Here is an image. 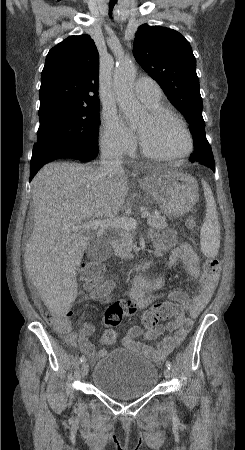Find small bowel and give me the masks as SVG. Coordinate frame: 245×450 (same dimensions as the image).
<instances>
[{
    "mask_svg": "<svg viewBox=\"0 0 245 450\" xmlns=\"http://www.w3.org/2000/svg\"><path fill=\"white\" fill-rule=\"evenodd\" d=\"M154 243L155 256L162 257L170 251L168 258V266L173 267L178 262H182L189 274L200 282L201 288L198 294L189 298L181 290H173L168 294L171 301L182 304L187 313V317L182 322L168 321L158 324L153 329L144 331L139 327H135L125 335L121 344L131 349H142L149 356L162 360L169 355L186 337L193 326V320L196 319L204 310L218 283V274H209L201 267V259L197 252L190 244H179L175 231L165 230L161 233L152 235ZM101 285L96 288H90L84 285L85 293L94 300H107L115 287L114 282L103 280L100 276ZM165 285V278L159 276L150 279L144 274H139L134 278L133 285L129 290L130 299L135 308L139 310L149 309L159 296V291ZM95 332V326L91 323H85L76 331H72L64 336V342L71 347L79 348L83 353L92 359L105 353V350L96 351L89 342L88 337ZM165 334V335H164ZM164 335L155 348H152L137 339L144 336L148 340H154ZM101 343L106 344L104 338Z\"/></svg>",
    "mask_w": 245,
    "mask_h": 450,
    "instance_id": "c3829d8e",
    "label": "small bowel"
}]
</instances>
